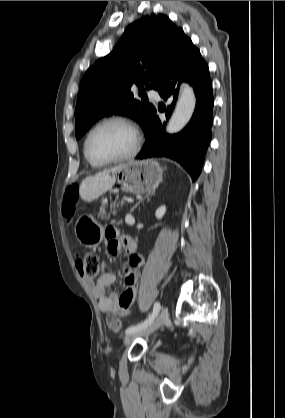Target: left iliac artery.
Segmentation results:
<instances>
[{
  "label": "left iliac artery",
  "mask_w": 285,
  "mask_h": 418,
  "mask_svg": "<svg viewBox=\"0 0 285 418\" xmlns=\"http://www.w3.org/2000/svg\"><path fill=\"white\" fill-rule=\"evenodd\" d=\"M160 309H161L160 303L158 301L155 302L154 306H153V311L150 314V316L146 320H144L143 322H141L137 325L128 327L125 330V333L129 334V333H133L135 331H138V330H141V329L145 328L147 325H149L150 323H152L154 321V319L157 317Z\"/></svg>",
  "instance_id": "1"
}]
</instances>
